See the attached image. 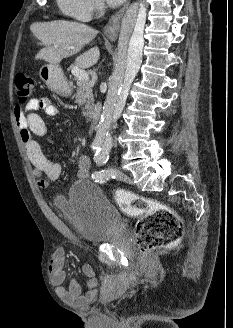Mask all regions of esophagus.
Segmentation results:
<instances>
[{
	"label": "esophagus",
	"instance_id": "1",
	"mask_svg": "<svg viewBox=\"0 0 233 328\" xmlns=\"http://www.w3.org/2000/svg\"><path fill=\"white\" fill-rule=\"evenodd\" d=\"M129 5V0L126 4L116 13H114L109 19L108 23L104 27V34L110 40H115L118 36L120 22L122 16Z\"/></svg>",
	"mask_w": 233,
	"mask_h": 328
}]
</instances>
